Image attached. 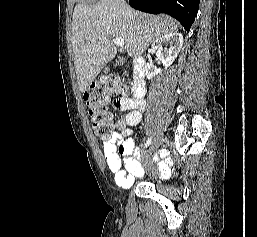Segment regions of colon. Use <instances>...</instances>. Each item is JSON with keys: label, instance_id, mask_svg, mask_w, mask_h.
Wrapping results in <instances>:
<instances>
[{"label": "colon", "instance_id": "colon-1", "mask_svg": "<svg viewBox=\"0 0 257 237\" xmlns=\"http://www.w3.org/2000/svg\"><path fill=\"white\" fill-rule=\"evenodd\" d=\"M127 92V84L121 78L111 75L99 78L85 93L92 128L98 140L107 142L113 135V115L107 108L109 99L117 97L115 101H118Z\"/></svg>", "mask_w": 257, "mask_h": 237}]
</instances>
